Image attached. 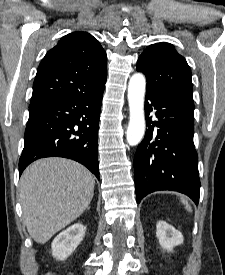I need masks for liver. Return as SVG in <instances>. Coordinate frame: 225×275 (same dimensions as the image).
<instances>
[{
    "label": "liver",
    "mask_w": 225,
    "mask_h": 275,
    "mask_svg": "<svg viewBox=\"0 0 225 275\" xmlns=\"http://www.w3.org/2000/svg\"><path fill=\"white\" fill-rule=\"evenodd\" d=\"M95 180L83 165L65 158H44L29 165L20 179V202L30 236L39 244L76 220L88 208Z\"/></svg>",
    "instance_id": "6515ba94"
}]
</instances>
